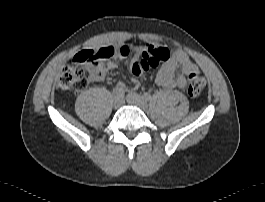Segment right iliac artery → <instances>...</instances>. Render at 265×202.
I'll list each match as a JSON object with an SVG mask.
<instances>
[{
  "label": "right iliac artery",
  "mask_w": 265,
  "mask_h": 202,
  "mask_svg": "<svg viewBox=\"0 0 265 202\" xmlns=\"http://www.w3.org/2000/svg\"><path fill=\"white\" fill-rule=\"evenodd\" d=\"M112 97L116 98V97H124V90L121 88H115L112 91Z\"/></svg>",
  "instance_id": "82829eb1"
}]
</instances>
